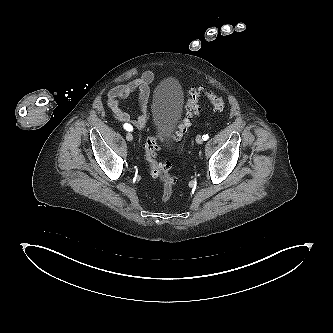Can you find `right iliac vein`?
Instances as JSON below:
<instances>
[{
	"label": "right iliac vein",
	"mask_w": 333,
	"mask_h": 333,
	"mask_svg": "<svg viewBox=\"0 0 333 333\" xmlns=\"http://www.w3.org/2000/svg\"><path fill=\"white\" fill-rule=\"evenodd\" d=\"M126 139L127 141H132L133 140V135L131 133L126 134Z\"/></svg>",
	"instance_id": "1"
}]
</instances>
